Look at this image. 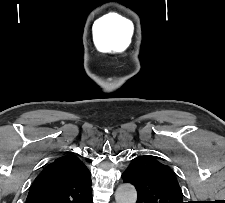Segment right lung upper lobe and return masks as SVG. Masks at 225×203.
<instances>
[{"mask_svg":"<svg viewBox=\"0 0 225 203\" xmlns=\"http://www.w3.org/2000/svg\"><path fill=\"white\" fill-rule=\"evenodd\" d=\"M91 173L72 154L48 164L33 182L26 203H90Z\"/></svg>","mask_w":225,"mask_h":203,"instance_id":"obj_1","label":"right lung upper lobe"}]
</instances>
